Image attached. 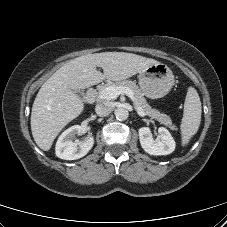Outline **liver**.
Masks as SVG:
<instances>
[{
  "label": "liver",
  "instance_id": "6515ba94",
  "mask_svg": "<svg viewBox=\"0 0 227 227\" xmlns=\"http://www.w3.org/2000/svg\"><path fill=\"white\" fill-rule=\"evenodd\" d=\"M157 63L125 52L87 54L67 62L41 86L34 100L31 131L35 143L48 151L59 132L82 113L84 103L73 90L89 88L105 79L121 81Z\"/></svg>",
  "mask_w": 227,
  "mask_h": 227
}]
</instances>
